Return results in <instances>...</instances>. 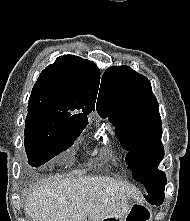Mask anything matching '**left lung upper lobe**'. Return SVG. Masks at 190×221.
<instances>
[{"label":"left lung upper lobe","instance_id":"1","mask_svg":"<svg viewBox=\"0 0 190 221\" xmlns=\"http://www.w3.org/2000/svg\"><path fill=\"white\" fill-rule=\"evenodd\" d=\"M97 112L109 117L122 147L129 151L127 163L135 180L145 186L146 200L164 190L166 176L157 169L164 157L161 118L150 81L128 66L106 69Z\"/></svg>","mask_w":190,"mask_h":221}]
</instances>
